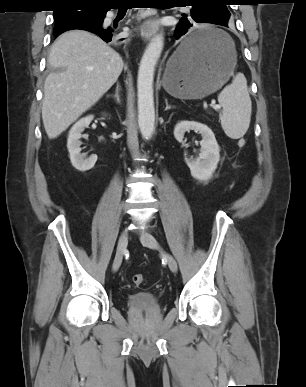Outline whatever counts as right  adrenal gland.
<instances>
[{"instance_id": "obj_1", "label": "right adrenal gland", "mask_w": 306, "mask_h": 387, "mask_svg": "<svg viewBox=\"0 0 306 387\" xmlns=\"http://www.w3.org/2000/svg\"><path fill=\"white\" fill-rule=\"evenodd\" d=\"M120 91H121V87H120L119 82H117L115 94L110 95V97H112L116 101V103H118V104H120V102H121Z\"/></svg>"}]
</instances>
